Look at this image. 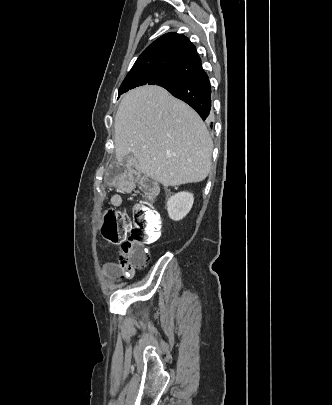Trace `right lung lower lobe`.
I'll return each mask as SVG.
<instances>
[{
    "label": "right lung lower lobe",
    "mask_w": 332,
    "mask_h": 405,
    "mask_svg": "<svg viewBox=\"0 0 332 405\" xmlns=\"http://www.w3.org/2000/svg\"><path fill=\"white\" fill-rule=\"evenodd\" d=\"M164 88L189 104L203 120L208 117L211 110V86L203 70Z\"/></svg>",
    "instance_id": "right-lung-lower-lobe-1"
}]
</instances>
